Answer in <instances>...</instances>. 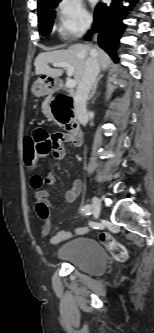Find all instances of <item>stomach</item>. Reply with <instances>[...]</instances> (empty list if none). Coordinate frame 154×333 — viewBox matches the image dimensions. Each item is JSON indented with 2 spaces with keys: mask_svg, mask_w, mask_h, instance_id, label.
Instances as JSON below:
<instances>
[{
  "mask_svg": "<svg viewBox=\"0 0 154 333\" xmlns=\"http://www.w3.org/2000/svg\"><path fill=\"white\" fill-rule=\"evenodd\" d=\"M49 84L44 79H38L32 86V93L36 97H41L49 92Z\"/></svg>",
  "mask_w": 154,
  "mask_h": 333,
  "instance_id": "0dacf381",
  "label": "stomach"
}]
</instances>
